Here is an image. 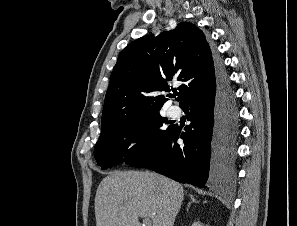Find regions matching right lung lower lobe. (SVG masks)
<instances>
[{"label": "right lung lower lobe", "instance_id": "1", "mask_svg": "<svg viewBox=\"0 0 297 226\" xmlns=\"http://www.w3.org/2000/svg\"><path fill=\"white\" fill-rule=\"evenodd\" d=\"M180 106L191 121L185 132L173 126L157 147L129 165L202 188L233 180L239 117L234 91L220 61L216 60L212 86ZM180 138L183 145L177 143Z\"/></svg>", "mask_w": 297, "mask_h": 226}]
</instances>
